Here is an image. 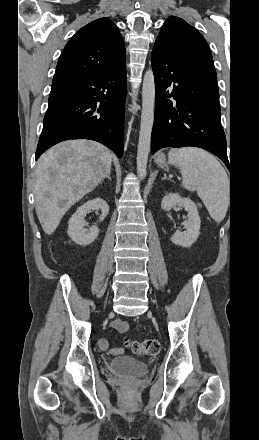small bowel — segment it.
<instances>
[{
  "label": "small bowel",
  "instance_id": "obj_1",
  "mask_svg": "<svg viewBox=\"0 0 259 440\" xmlns=\"http://www.w3.org/2000/svg\"><path fill=\"white\" fill-rule=\"evenodd\" d=\"M112 327L115 328L118 332H126L128 331L130 325L128 322L116 319L112 322ZM100 348L103 350H108L112 354H118L123 352V348H110L109 341L106 339H102L99 342Z\"/></svg>",
  "mask_w": 259,
  "mask_h": 440
}]
</instances>
